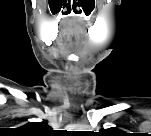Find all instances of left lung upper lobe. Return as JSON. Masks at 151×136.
<instances>
[{
    "label": "left lung upper lobe",
    "mask_w": 151,
    "mask_h": 136,
    "mask_svg": "<svg viewBox=\"0 0 151 136\" xmlns=\"http://www.w3.org/2000/svg\"><path fill=\"white\" fill-rule=\"evenodd\" d=\"M106 131H107V130H105V129H102V130H101V132H103V133H106Z\"/></svg>",
    "instance_id": "1"
}]
</instances>
